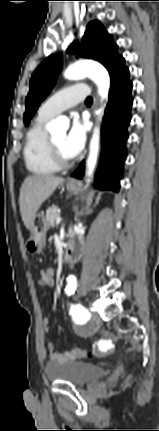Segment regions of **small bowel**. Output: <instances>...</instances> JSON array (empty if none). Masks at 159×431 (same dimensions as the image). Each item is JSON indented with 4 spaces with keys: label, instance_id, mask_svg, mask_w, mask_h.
Returning a JSON list of instances; mask_svg holds the SVG:
<instances>
[{
    "label": "small bowel",
    "instance_id": "small-bowel-1",
    "mask_svg": "<svg viewBox=\"0 0 159 431\" xmlns=\"http://www.w3.org/2000/svg\"><path fill=\"white\" fill-rule=\"evenodd\" d=\"M52 267L46 266L45 269H42L40 272V280L39 285L41 287L49 288V283L47 278L51 277ZM55 277V275L53 276ZM67 290H65L66 292ZM67 294V293H66ZM43 328L45 332L49 331V319L44 318L42 321ZM82 348L78 346H73L71 349L64 352H57L54 343H48L47 351L49 353V358L51 362L56 363H64L69 361H74L76 359L81 358Z\"/></svg>",
    "mask_w": 159,
    "mask_h": 431
}]
</instances>
